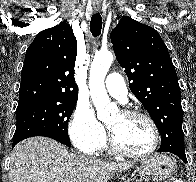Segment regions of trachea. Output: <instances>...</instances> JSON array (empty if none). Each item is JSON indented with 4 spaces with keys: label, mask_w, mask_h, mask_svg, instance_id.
Wrapping results in <instances>:
<instances>
[{
    "label": "trachea",
    "mask_w": 196,
    "mask_h": 182,
    "mask_svg": "<svg viewBox=\"0 0 196 182\" xmlns=\"http://www.w3.org/2000/svg\"><path fill=\"white\" fill-rule=\"evenodd\" d=\"M102 29V17L99 13H95L90 21V31L94 37L100 35Z\"/></svg>",
    "instance_id": "trachea-1"
}]
</instances>
